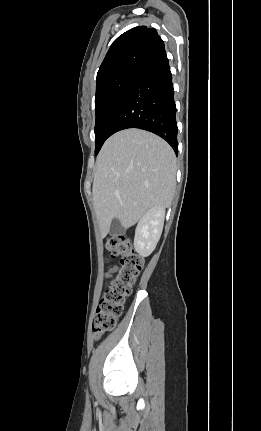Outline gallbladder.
Listing matches in <instances>:
<instances>
[{
  "label": "gallbladder",
  "instance_id": "bac80fb5",
  "mask_svg": "<svg viewBox=\"0 0 261 431\" xmlns=\"http://www.w3.org/2000/svg\"><path fill=\"white\" fill-rule=\"evenodd\" d=\"M125 232L124 227L121 225L120 221L118 219H113L111 226H110V235L117 236L120 234H123Z\"/></svg>",
  "mask_w": 261,
  "mask_h": 431
}]
</instances>
